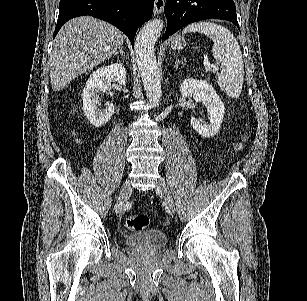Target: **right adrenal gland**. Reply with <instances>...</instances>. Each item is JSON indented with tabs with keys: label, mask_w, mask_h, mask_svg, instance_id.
Listing matches in <instances>:
<instances>
[{
	"label": "right adrenal gland",
	"mask_w": 307,
	"mask_h": 301,
	"mask_svg": "<svg viewBox=\"0 0 307 301\" xmlns=\"http://www.w3.org/2000/svg\"><path fill=\"white\" fill-rule=\"evenodd\" d=\"M115 56H117V54H121V56H125V52L121 46L120 50H117V52H114Z\"/></svg>",
	"instance_id": "2a0ac1e0"
}]
</instances>
